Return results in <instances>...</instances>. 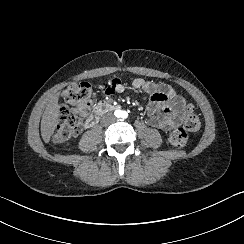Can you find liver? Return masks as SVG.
Here are the masks:
<instances>
[{
    "mask_svg": "<svg viewBox=\"0 0 244 244\" xmlns=\"http://www.w3.org/2000/svg\"><path fill=\"white\" fill-rule=\"evenodd\" d=\"M58 98V94L51 96L49 104L47 105L46 110L42 116L41 136L45 143L50 141V138L56 129L60 109Z\"/></svg>",
    "mask_w": 244,
    "mask_h": 244,
    "instance_id": "obj_1",
    "label": "liver"
}]
</instances>
